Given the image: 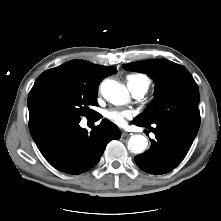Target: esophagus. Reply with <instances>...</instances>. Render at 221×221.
<instances>
[{
  "mask_svg": "<svg viewBox=\"0 0 221 221\" xmlns=\"http://www.w3.org/2000/svg\"><path fill=\"white\" fill-rule=\"evenodd\" d=\"M129 133H128V131H123L122 132V136H126V135H128Z\"/></svg>",
  "mask_w": 221,
  "mask_h": 221,
  "instance_id": "34e87169",
  "label": "esophagus"
}]
</instances>
